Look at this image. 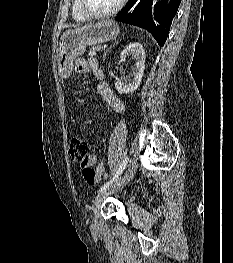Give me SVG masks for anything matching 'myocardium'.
Wrapping results in <instances>:
<instances>
[{
	"instance_id": "obj_1",
	"label": "myocardium",
	"mask_w": 233,
	"mask_h": 263,
	"mask_svg": "<svg viewBox=\"0 0 233 263\" xmlns=\"http://www.w3.org/2000/svg\"><path fill=\"white\" fill-rule=\"evenodd\" d=\"M78 1H79V7H80L81 11L88 18H94V19L106 18V17H110V16L117 14L124 7L125 3L127 2V0H119V2L116 4V6L113 7L112 9L108 10V11L93 12L86 7L84 0H78Z\"/></svg>"
}]
</instances>
